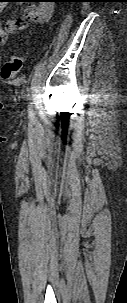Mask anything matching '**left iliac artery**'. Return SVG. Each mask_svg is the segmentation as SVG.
Masks as SVG:
<instances>
[{"instance_id": "left-iliac-artery-1", "label": "left iliac artery", "mask_w": 127, "mask_h": 303, "mask_svg": "<svg viewBox=\"0 0 127 303\" xmlns=\"http://www.w3.org/2000/svg\"><path fill=\"white\" fill-rule=\"evenodd\" d=\"M28 115H29L30 119H32V120L34 119V112H33V109H32V105L29 107Z\"/></svg>"}]
</instances>
